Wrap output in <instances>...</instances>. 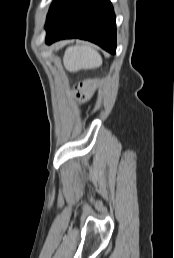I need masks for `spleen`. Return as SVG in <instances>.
<instances>
[{
  "label": "spleen",
  "mask_w": 174,
  "mask_h": 258,
  "mask_svg": "<svg viewBox=\"0 0 174 258\" xmlns=\"http://www.w3.org/2000/svg\"><path fill=\"white\" fill-rule=\"evenodd\" d=\"M64 64L71 71L92 69L102 64V58L90 45H78L66 49Z\"/></svg>",
  "instance_id": "spleen-1"
}]
</instances>
